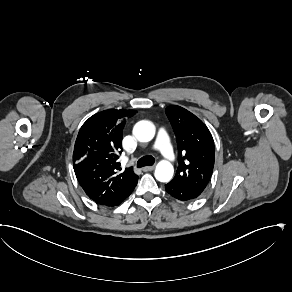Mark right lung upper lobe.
<instances>
[{
  "label": "right lung upper lobe",
  "instance_id": "right-lung-upper-lobe-1",
  "mask_svg": "<svg viewBox=\"0 0 292 292\" xmlns=\"http://www.w3.org/2000/svg\"><path fill=\"white\" fill-rule=\"evenodd\" d=\"M135 110H104L91 116L80 128L73 152V167L85 193L96 203H117L137 183L132 167L120 171L125 118Z\"/></svg>",
  "mask_w": 292,
  "mask_h": 292
}]
</instances>
